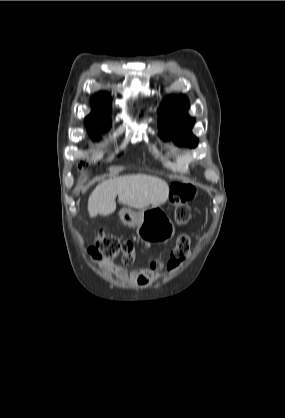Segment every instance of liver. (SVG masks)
<instances>
[{"label":"liver","instance_id":"obj_1","mask_svg":"<svg viewBox=\"0 0 285 418\" xmlns=\"http://www.w3.org/2000/svg\"><path fill=\"white\" fill-rule=\"evenodd\" d=\"M118 201L135 209L158 207L165 203L169 195L168 184L155 176L132 174L105 180L98 184L88 199L91 216H107L116 210Z\"/></svg>","mask_w":285,"mask_h":418}]
</instances>
